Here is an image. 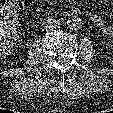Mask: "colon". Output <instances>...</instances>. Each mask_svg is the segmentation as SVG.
<instances>
[{
    "label": "colon",
    "mask_w": 113,
    "mask_h": 113,
    "mask_svg": "<svg viewBox=\"0 0 113 113\" xmlns=\"http://www.w3.org/2000/svg\"><path fill=\"white\" fill-rule=\"evenodd\" d=\"M30 1L0 0V56L5 55L9 51L14 39V29L12 24L7 21L8 16L12 19L15 18L20 9V5Z\"/></svg>",
    "instance_id": "1"
}]
</instances>
